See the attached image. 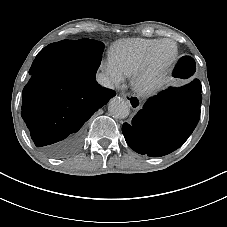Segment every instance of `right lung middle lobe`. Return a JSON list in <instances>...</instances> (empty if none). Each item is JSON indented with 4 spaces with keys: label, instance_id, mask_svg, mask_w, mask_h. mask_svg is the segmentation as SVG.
Listing matches in <instances>:
<instances>
[{
    "label": "right lung middle lobe",
    "instance_id": "obj_1",
    "mask_svg": "<svg viewBox=\"0 0 227 227\" xmlns=\"http://www.w3.org/2000/svg\"><path fill=\"white\" fill-rule=\"evenodd\" d=\"M104 44L90 39L72 40L69 62L77 67V71L96 74L100 66ZM34 67L29 70L30 75L41 73Z\"/></svg>",
    "mask_w": 227,
    "mask_h": 227
}]
</instances>
